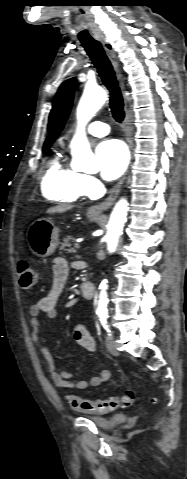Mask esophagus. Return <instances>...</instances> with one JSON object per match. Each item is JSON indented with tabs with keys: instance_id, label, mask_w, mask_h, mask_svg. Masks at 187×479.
Returning <instances> with one entry per match:
<instances>
[{
	"instance_id": "obj_1",
	"label": "esophagus",
	"mask_w": 187,
	"mask_h": 479,
	"mask_svg": "<svg viewBox=\"0 0 187 479\" xmlns=\"http://www.w3.org/2000/svg\"><path fill=\"white\" fill-rule=\"evenodd\" d=\"M100 42H101L108 58L110 59L112 65H113V67L116 71L117 77L120 81L121 88L123 89V80H122V75H121V72H120V69H119V64H118V61L116 59V53H115V51H114V49H113V47L110 43L106 42L104 39H101ZM124 132H125V137H126L128 146H129V150H130V152H132L133 143H132V138H131V136H132L131 115L129 114L128 110L126 111V116H125V120H124ZM127 172H128V170L126 171L123 178L112 188V190L110 191L109 196L103 202H101L99 204H96V205H93L89 208V210H88L89 213L99 215L103 211L109 209L113 205V203L116 200V198H117V196L120 192V189H121V187L124 183Z\"/></svg>"
}]
</instances>
